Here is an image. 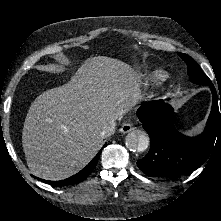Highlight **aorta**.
Instances as JSON below:
<instances>
[{
    "label": "aorta",
    "mask_w": 221,
    "mask_h": 221,
    "mask_svg": "<svg viewBox=\"0 0 221 221\" xmlns=\"http://www.w3.org/2000/svg\"><path fill=\"white\" fill-rule=\"evenodd\" d=\"M125 143L129 150L143 152L148 148L150 138L145 131L134 130L127 134Z\"/></svg>",
    "instance_id": "1"
}]
</instances>
